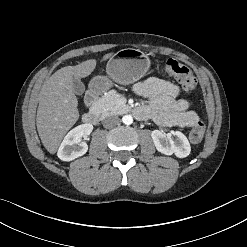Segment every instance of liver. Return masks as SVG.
I'll return each mask as SVG.
<instances>
[{
	"mask_svg": "<svg viewBox=\"0 0 247 247\" xmlns=\"http://www.w3.org/2000/svg\"><path fill=\"white\" fill-rule=\"evenodd\" d=\"M113 53L105 54L103 61ZM96 67V60H86L76 66L57 70L47 79L39 93L36 125L46 150L56 153L63 137L79 119L78 99L73 90V79L89 76Z\"/></svg>",
	"mask_w": 247,
	"mask_h": 247,
	"instance_id": "obj_1",
	"label": "liver"
}]
</instances>
